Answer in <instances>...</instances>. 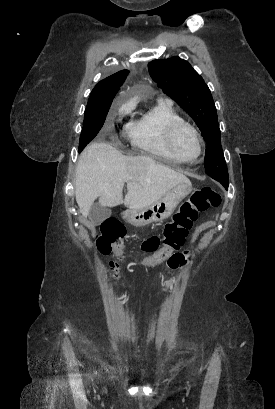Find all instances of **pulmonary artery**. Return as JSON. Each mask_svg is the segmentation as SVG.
I'll return each instance as SVG.
<instances>
[{
    "mask_svg": "<svg viewBox=\"0 0 275 409\" xmlns=\"http://www.w3.org/2000/svg\"><path fill=\"white\" fill-rule=\"evenodd\" d=\"M166 102H167V103H170V101H169V100H166Z\"/></svg>",
    "mask_w": 275,
    "mask_h": 409,
    "instance_id": "1",
    "label": "pulmonary artery"
}]
</instances>
